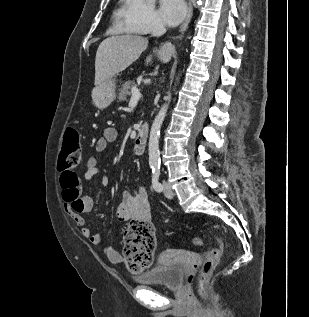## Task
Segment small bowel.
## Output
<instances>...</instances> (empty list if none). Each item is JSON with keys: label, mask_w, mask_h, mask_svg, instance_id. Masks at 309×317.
<instances>
[{"label": "small bowel", "mask_w": 309, "mask_h": 317, "mask_svg": "<svg viewBox=\"0 0 309 317\" xmlns=\"http://www.w3.org/2000/svg\"><path fill=\"white\" fill-rule=\"evenodd\" d=\"M117 130L108 127L104 130L103 135L97 139L94 149L96 152H103L109 143H113L117 139ZM102 175L98 165L96 156L91 155L87 158L84 178L87 181ZM102 182L107 183V177L102 175ZM62 197L64 208L67 215L73 222L80 227L81 235L88 239L94 246L103 244V237L100 233H93L92 229L87 225L84 214L90 212L94 206L93 198L82 192L79 178L74 171L66 174V183L62 184ZM116 217L119 221H132L137 219H150V204L148 193L145 186L138 184L136 186V194L125 193L121 202L116 208ZM103 252L107 259L113 264H122L125 260L124 256L114 250L109 245L103 246Z\"/></svg>", "instance_id": "c3829d8e"}]
</instances>
